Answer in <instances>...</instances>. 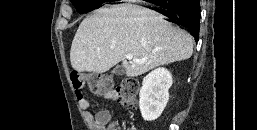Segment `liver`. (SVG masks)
<instances>
[{"instance_id": "6515ba94", "label": "liver", "mask_w": 257, "mask_h": 130, "mask_svg": "<svg viewBox=\"0 0 257 130\" xmlns=\"http://www.w3.org/2000/svg\"><path fill=\"white\" fill-rule=\"evenodd\" d=\"M194 40L159 13L132 4L99 8L85 18L74 36L70 61L78 72L104 73L122 62L128 77L186 60ZM132 54L142 63L127 61Z\"/></svg>"}]
</instances>
